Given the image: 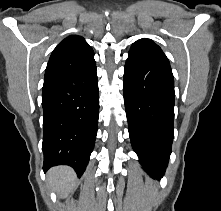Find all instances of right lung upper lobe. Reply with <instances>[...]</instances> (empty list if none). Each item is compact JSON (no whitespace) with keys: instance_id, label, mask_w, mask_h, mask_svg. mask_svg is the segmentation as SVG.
<instances>
[{"instance_id":"right-lung-upper-lobe-1","label":"right lung upper lobe","mask_w":221,"mask_h":211,"mask_svg":"<svg viewBox=\"0 0 221 211\" xmlns=\"http://www.w3.org/2000/svg\"><path fill=\"white\" fill-rule=\"evenodd\" d=\"M93 64L95 60L91 46L81 36H69L53 50L44 82L86 69Z\"/></svg>"}]
</instances>
